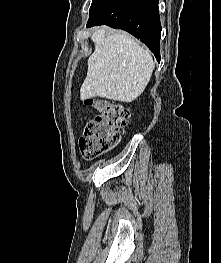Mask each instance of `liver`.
<instances>
[{"mask_svg":"<svg viewBox=\"0 0 221 263\" xmlns=\"http://www.w3.org/2000/svg\"><path fill=\"white\" fill-rule=\"evenodd\" d=\"M91 40L95 49L88 59L81 100L101 97L132 102L145 90L154 70L149 51L123 32L97 28Z\"/></svg>","mask_w":221,"mask_h":263,"instance_id":"1","label":"liver"}]
</instances>
